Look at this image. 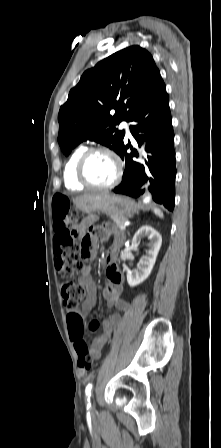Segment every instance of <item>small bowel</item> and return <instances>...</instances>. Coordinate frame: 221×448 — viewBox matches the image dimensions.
Wrapping results in <instances>:
<instances>
[{
	"mask_svg": "<svg viewBox=\"0 0 221 448\" xmlns=\"http://www.w3.org/2000/svg\"><path fill=\"white\" fill-rule=\"evenodd\" d=\"M91 224H92V219H88V220L82 222L76 228V230L78 231V233L83 235L86 232V230L91 226ZM53 229H54V232L56 235L57 230L55 228L54 218H53ZM88 236L90 238L91 254H93L94 247L98 242L109 240V238L104 234L103 227H100V226L91 228L89 230ZM120 243H121V237L117 236V237L113 238V242L109 248V252L107 255V268H106L108 283L103 291V295H104L107 305L111 309H119L122 311H128L130 309V303L126 299H124L122 296V292H123V290H122V275L115 263L116 253L118 251ZM79 282L82 286H84L87 289L88 296H87L86 300L84 301V303L82 304L81 308L70 311L69 315L75 314L82 318L84 315L88 314L92 310V307L94 305V300H95V293H96V287H95V284L90 276L89 268H86L83 270L82 275L79 279ZM120 323H121V318L118 314H115V313L102 320L101 332L89 348L90 355L92 356L93 359L100 358L101 352H102L103 348L105 347V345L107 344L113 330ZM83 341L85 342L84 338H83Z\"/></svg>",
	"mask_w": 221,
	"mask_h": 448,
	"instance_id": "obj_1",
	"label": "small bowel"
}]
</instances>
